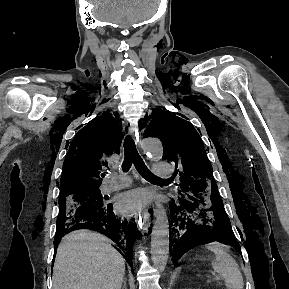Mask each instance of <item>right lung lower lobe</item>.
<instances>
[{
	"label": "right lung lower lobe",
	"mask_w": 289,
	"mask_h": 289,
	"mask_svg": "<svg viewBox=\"0 0 289 289\" xmlns=\"http://www.w3.org/2000/svg\"><path fill=\"white\" fill-rule=\"evenodd\" d=\"M77 229H91L108 236L117 245V250L132 267L133 242L138 234L137 227L120 220L113 212L112 204L92 214L73 218L67 225L57 229L54 248L57 249L61 237Z\"/></svg>",
	"instance_id": "obj_1"
}]
</instances>
